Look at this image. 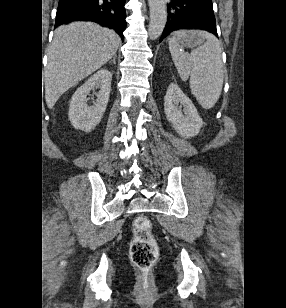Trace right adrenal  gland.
Segmentation results:
<instances>
[{
  "label": "right adrenal gland",
  "instance_id": "1",
  "mask_svg": "<svg viewBox=\"0 0 286 308\" xmlns=\"http://www.w3.org/2000/svg\"><path fill=\"white\" fill-rule=\"evenodd\" d=\"M116 57L117 55L115 54L113 59L109 61V63H113V64H116Z\"/></svg>",
  "mask_w": 286,
  "mask_h": 308
}]
</instances>
